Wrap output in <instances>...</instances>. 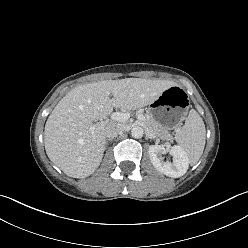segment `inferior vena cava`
Masks as SVG:
<instances>
[{
    "label": "inferior vena cava",
    "instance_id": "602c4592",
    "mask_svg": "<svg viewBox=\"0 0 248 248\" xmlns=\"http://www.w3.org/2000/svg\"><path fill=\"white\" fill-rule=\"evenodd\" d=\"M123 130V127L120 124L112 123L106 126L105 128V136L108 139L116 137L118 134H120Z\"/></svg>",
    "mask_w": 248,
    "mask_h": 248
}]
</instances>
